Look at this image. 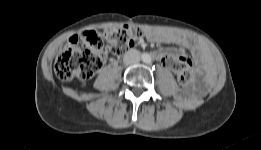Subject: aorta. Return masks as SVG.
I'll use <instances>...</instances> for the list:
<instances>
[{"mask_svg":"<svg viewBox=\"0 0 261 150\" xmlns=\"http://www.w3.org/2000/svg\"><path fill=\"white\" fill-rule=\"evenodd\" d=\"M142 60L144 63H150L152 61L151 56L149 54H145Z\"/></svg>","mask_w":261,"mask_h":150,"instance_id":"obj_1","label":"aorta"}]
</instances>
